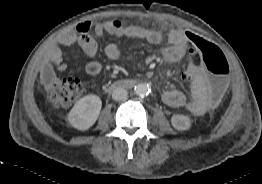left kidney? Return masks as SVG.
Here are the masks:
<instances>
[{"label": "left kidney", "mask_w": 262, "mask_h": 184, "mask_svg": "<svg viewBox=\"0 0 262 184\" xmlns=\"http://www.w3.org/2000/svg\"><path fill=\"white\" fill-rule=\"evenodd\" d=\"M171 124L178 131L189 130L191 127L190 118L182 114L173 115L171 118Z\"/></svg>", "instance_id": "obj_1"}]
</instances>
